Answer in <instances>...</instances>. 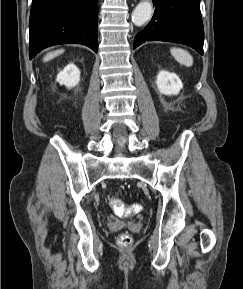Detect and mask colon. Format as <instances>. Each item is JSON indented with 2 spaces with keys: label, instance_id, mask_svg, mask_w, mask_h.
<instances>
[{
  "label": "colon",
  "instance_id": "1",
  "mask_svg": "<svg viewBox=\"0 0 243 289\" xmlns=\"http://www.w3.org/2000/svg\"><path fill=\"white\" fill-rule=\"evenodd\" d=\"M110 206L114 214L118 217H126L129 215H135L141 212L142 205L134 203L126 206L119 198H112L110 200ZM117 243L121 247H128L132 243V237L127 233H122L117 238Z\"/></svg>",
  "mask_w": 243,
  "mask_h": 289
}]
</instances>
